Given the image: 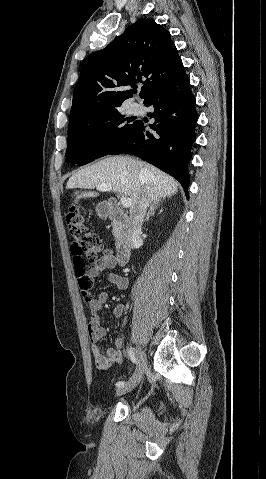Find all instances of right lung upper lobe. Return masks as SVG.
<instances>
[{
    "label": "right lung upper lobe",
    "mask_w": 266,
    "mask_h": 479,
    "mask_svg": "<svg viewBox=\"0 0 266 479\" xmlns=\"http://www.w3.org/2000/svg\"><path fill=\"white\" fill-rule=\"evenodd\" d=\"M184 74L169 31L153 19H139L84 61L69 121L119 108L134 93V90L120 91V87L136 88L142 82L140 96L146 100Z\"/></svg>",
    "instance_id": "cb5924a9"
}]
</instances>
